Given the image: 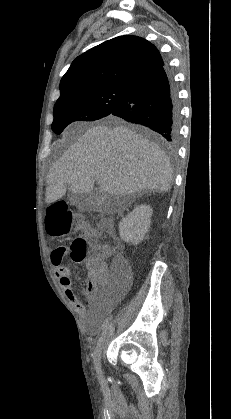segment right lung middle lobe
<instances>
[{
	"mask_svg": "<svg viewBox=\"0 0 231 419\" xmlns=\"http://www.w3.org/2000/svg\"><path fill=\"white\" fill-rule=\"evenodd\" d=\"M131 87L105 86L78 90L54 105L52 129L60 134L74 121H94L108 116L128 95Z\"/></svg>",
	"mask_w": 231,
	"mask_h": 419,
	"instance_id": "1",
	"label": "right lung middle lobe"
}]
</instances>
